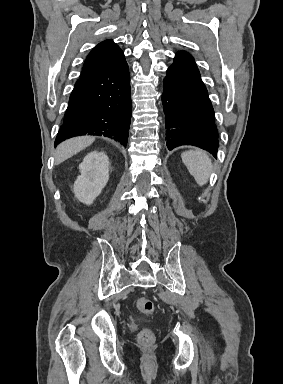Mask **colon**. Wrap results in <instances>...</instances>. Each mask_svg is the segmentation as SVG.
I'll return each mask as SVG.
<instances>
[{
    "instance_id": "colon-1",
    "label": "colon",
    "mask_w": 283,
    "mask_h": 384,
    "mask_svg": "<svg viewBox=\"0 0 283 384\" xmlns=\"http://www.w3.org/2000/svg\"><path fill=\"white\" fill-rule=\"evenodd\" d=\"M136 306L138 310L144 314L151 315L154 313V304L148 298L139 297L136 300ZM138 340L144 345H149L154 341V334L150 329L145 328L140 331L138 335Z\"/></svg>"
}]
</instances>
